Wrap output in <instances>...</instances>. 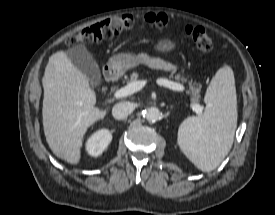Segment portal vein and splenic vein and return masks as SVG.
I'll return each instance as SVG.
<instances>
[{
	"label": "portal vein and splenic vein",
	"instance_id": "portal-vein-and-splenic-vein-1",
	"mask_svg": "<svg viewBox=\"0 0 275 215\" xmlns=\"http://www.w3.org/2000/svg\"><path fill=\"white\" fill-rule=\"evenodd\" d=\"M156 84L159 86L167 87L174 91L183 92L185 90V87L182 84L176 83V82L164 79V78L156 79ZM144 85H145L144 81H135V82L130 83V84L118 89L117 91H115L113 96L116 99L127 97L129 95H132V94L140 91L144 87ZM192 110L198 114H201L203 111V107L200 106L199 104H194L192 106Z\"/></svg>",
	"mask_w": 275,
	"mask_h": 215
}]
</instances>
